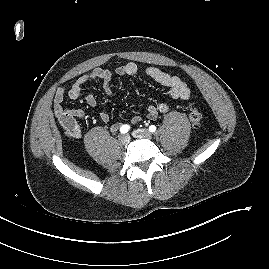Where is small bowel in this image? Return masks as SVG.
I'll return each instance as SVG.
<instances>
[{
    "label": "small bowel",
    "mask_w": 269,
    "mask_h": 269,
    "mask_svg": "<svg viewBox=\"0 0 269 269\" xmlns=\"http://www.w3.org/2000/svg\"><path fill=\"white\" fill-rule=\"evenodd\" d=\"M139 72V66L134 62H129L124 65H120L115 69V74L118 76H134ZM145 74L156 83L167 88L169 96L172 100L186 101L190 98V89L187 84L179 77L170 75L163 72L157 67L148 66L144 70ZM113 73L108 69L95 68L90 73L84 74L77 78L70 86L66 88L61 86L57 89L54 96L53 109L55 116L60 121L62 126L67 131L68 135L73 138H79L82 135V131L76 122V119L83 118L85 115L82 109H66L63 106V101L66 96L75 100L79 97L82 87L89 81H100L102 83L105 93L109 96L113 94L112 81ZM86 102L90 107L97 106V99L93 93L86 95ZM169 110V105L165 102H161L157 105H151L148 107L147 116L149 119L154 120L159 114L166 113ZM99 118L101 121L107 123L110 116L105 111L99 112ZM69 120V122L67 121ZM141 120L139 115H134L131 118L133 124L138 123ZM120 123H114L110 129L112 132H116L120 128Z\"/></svg>",
    "instance_id": "obj_1"
}]
</instances>
